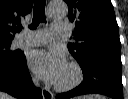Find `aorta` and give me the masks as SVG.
Returning a JSON list of instances; mask_svg holds the SVG:
<instances>
[{"label": "aorta", "mask_w": 128, "mask_h": 99, "mask_svg": "<svg viewBox=\"0 0 128 99\" xmlns=\"http://www.w3.org/2000/svg\"><path fill=\"white\" fill-rule=\"evenodd\" d=\"M48 11L53 18H63L68 13V6L63 0H53L49 4Z\"/></svg>", "instance_id": "obj_1"}]
</instances>
